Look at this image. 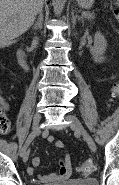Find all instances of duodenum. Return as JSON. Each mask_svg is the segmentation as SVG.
<instances>
[{"instance_id":"1","label":"duodenum","mask_w":119,"mask_h":185,"mask_svg":"<svg viewBox=\"0 0 119 185\" xmlns=\"http://www.w3.org/2000/svg\"><path fill=\"white\" fill-rule=\"evenodd\" d=\"M17 59H18V62L19 64L26 70V71H29L30 67L27 63V60H26V54L24 52V50L22 49H18L17 50Z\"/></svg>"}]
</instances>
